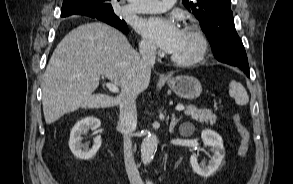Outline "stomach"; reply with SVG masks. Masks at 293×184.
<instances>
[{"label":"stomach","instance_id":"obj_1","mask_svg":"<svg viewBox=\"0 0 293 184\" xmlns=\"http://www.w3.org/2000/svg\"><path fill=\"white\" fill-rule=\"evenodd\" d=\"M167 83L176 95L187 100L198 98L202 92V86L198 79L189 75L170 78Z\"/></svg>","mask_w":293,"mask_h":184}]
</instances>
